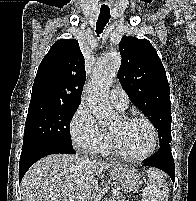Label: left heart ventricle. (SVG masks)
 I'll use <instances>...</instances> for the list:
<instances>
[{"instance_id":"1","label":"left heart ventricle","mask_w":196,"mask_h":201,"mask_svg":"<svg viewBox=\"0 0 196 201\" xmlns=\"http://www.w3.org/2000/svg\"><path fill=\"white\" fill-rule=\"evenodd\" d=\"M109 131L128 154L139 156L151 146V131L144 122H124L121 118H118L110 126Z\"/></svg>"}]
</instances>
